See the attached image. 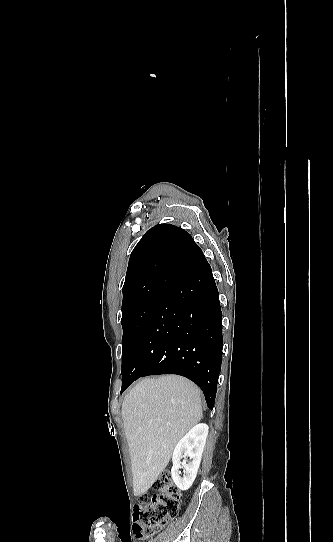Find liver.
Returning a JSON list of instances; mask_svg holds the SVG:
<instances>
[{
  "label": "liver",
  "mask_w": 333,
  "mask_h": 542,
  "mask_svg": "<svg viewBox=\"0 0 333 542\" xmlns=\"http://www.w3.org/2000/svg\"><path fill=\"white\" fill-rule=\"evenodd\" d=\"M121 414L133 494L143 496L168 466L177 442L200 422L201 392L175 374L144 378L125 396Z\"/></svg>",
  "instance_id": "obj_1"
}]
</instances>
